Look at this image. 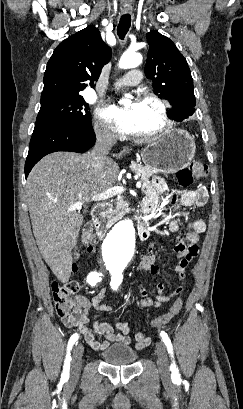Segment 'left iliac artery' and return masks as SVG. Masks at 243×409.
<instances>
[{"instance_id": "1", "label": "left iliac artery", "mask_w": 243, "mask_h": 409, "mask_svg": "<svg viewBox=\"0 0 243 409\" xmlns=\"http://www.w3.org/2000/svg\"><path fill=\"white\" fill-rule=\"evenodd\" d=\"M110 273H111V282L110 285L112 287V289L117 290L118 286L121 284L122 282V272L119 270H114V269H110ZM160 336L162 338V341L164 342V344L167 347L168 353L170 354V357L172 359V364L170 366V370L172 372V378L173 379H178L180 378V374L178 372V368L174 362L173 359V347H172V343L167 335V333H165L164 331H162L160 333Z\"/></svg>"}]
</instances>
